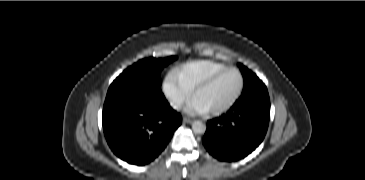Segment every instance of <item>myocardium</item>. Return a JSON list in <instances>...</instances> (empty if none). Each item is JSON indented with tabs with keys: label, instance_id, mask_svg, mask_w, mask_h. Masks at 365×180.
<instances>
[{
	"label": "myocardium",
	"instance_id": "f54148a6",
	"mask_svg": "<svg viewBox=\"0 0 365 180\" xmlns=\"http://www.w3.org/2000/svg\"><path fill=\"white\" fill-rule=\"evenodd\" d=\"M229 71H235L238 73L239 77H240V85L239 88L236 92V94L234 95V97L225 105L212 109V110H208L206 111L207 114L209 115H220L223 114L227 111H229L231 108H233L235 106V104L238 102V100L240 99L244 87H245V77L242 73V71L237 68V67H227L217 73H215L214 75H212L210 78H208L206 81H204L202 84H200L198 87H196L192 93H191V97L194 100L195 96L201 92L202 90L206 89L207 87H209L213 82H215L219 77H221L222 75H224L225 73L229 72Z\"/></svg>",
	"mask_w": 365,
	"mask_h": 180
}]
</instances>
